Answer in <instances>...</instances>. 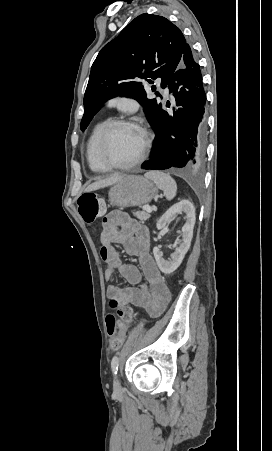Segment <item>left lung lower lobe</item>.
Returning <instances> with one entry per match:
<instances>
[{"instance_id":"obj_1","label":"left lung lower lobe","mask_w":272,"mask_h":451,"mask_svg":"<svg viewBox=\"0 0 272 451\" xmlns=\"http://www.w3.org/2000/svg\"><path fill=\"white\" fill-rule=\"evenodd\" d=\"M199 64L187 45L181 62L167 86L178 109L174 117L161 111L151 158L143 169H192L203 164L206 137V93Z\"/></svg>"}]
</instances>
